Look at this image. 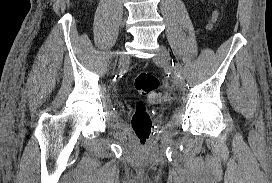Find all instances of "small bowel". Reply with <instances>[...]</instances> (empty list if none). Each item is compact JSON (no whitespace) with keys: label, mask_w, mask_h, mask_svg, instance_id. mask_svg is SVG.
<instances>
[{"label":"small bowel","mask_w":272,"mask_h":183,"mask_svg":"<svg viewBox=\"0 0 272 183\" xmlns=\"http://www.w3.org/2000/svg\"><path fill=\"white\" fill-rule=\"evenodd\" d=\"M217 16H218V12H217V11L213 12V14H212V16H211V21H212V22L216 21Z\"/></svg>","instance_id":"1"}]
</instances>
